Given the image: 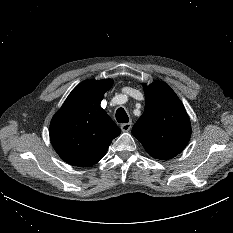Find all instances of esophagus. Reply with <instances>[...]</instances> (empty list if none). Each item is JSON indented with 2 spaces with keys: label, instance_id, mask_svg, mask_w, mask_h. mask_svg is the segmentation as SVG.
Returning a JSON list of instances; mask_svg holds the SVG:
<instances>
[{
  "label": "esophagus",
  "instance_id": "esophagus-1",
  "mask_svg": "<svg viewBox=\"0 0 233 233\" xmlns=\"http://www.w3.org/2000/svg\"><path fill=\"white\" fill-rule=\"evenodd\" d=\"M131 127H132V123L131 122L124 123V124L121 125V130L123 132H128L131 129Z\"/></svg>",
  "mask_w": 233,
  "mask_h": 233
}]
</instances>
